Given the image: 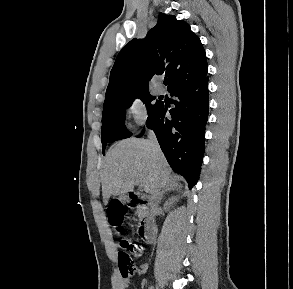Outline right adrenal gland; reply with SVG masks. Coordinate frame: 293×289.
<instances>
[{
    "mask_svg": "<svg viewBox=\"0 0 293 289\" xmlns=\"http://www.w3.org/2000/svg\"><path fill=\"white\" fill-rule=\"evenodd\" d=\"M178 190H180V187H179V186H175V185L167 186V187L164 188V190L161 192L160 197H159V201L162 200L164 194H166V193H168V192H171V191H178Z\"/></svg>",
    "mask_w": 293,
    "mask_h": 289,
    "instance_id": "right-adrenal-gland-1",
    "label": "right adrenal gland"
}]
</instances>
